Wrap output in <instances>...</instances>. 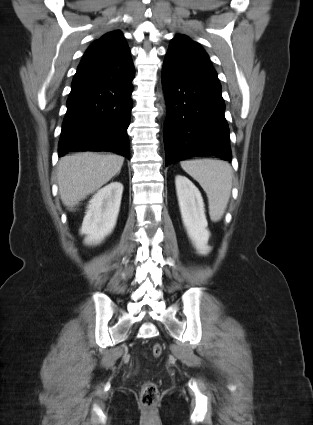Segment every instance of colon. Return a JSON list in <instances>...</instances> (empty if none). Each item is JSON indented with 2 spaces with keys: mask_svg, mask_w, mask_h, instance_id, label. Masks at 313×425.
<instances>
[{
  "mask_svg": "<svg viewBox=\"0 0 313 425\" xmlns=\"http://www.w3.org/2000/svg\"><path fill=\"white\" fill-rule=\"evenodd\" d=\"M162 346L158 343L152 347V355L158 358L162 354ZM140 401L143 407L147 409L154 408L159 401V391L156 384L152 382H146L143 384L140 392Z\"/></svg>",
  "mask_w": 313,
  "mask_h": 425,
  "instance_id": "5ec220e1",
  "label": "colon"
}]
</instances>
